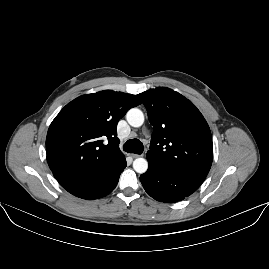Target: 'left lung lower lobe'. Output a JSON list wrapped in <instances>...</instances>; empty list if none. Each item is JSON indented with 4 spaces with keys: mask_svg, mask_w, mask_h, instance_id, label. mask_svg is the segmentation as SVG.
Returning a JSON list of instances; mask_svg holds the SVG:
<instances>
[{
    "mask_svg": "<svg viewBox=\"0 0 269 269\" xmlns=\"http://www.w3.org/2000/svg\"><path fill=\"white\" fill-rule=\"evenodd\" d=\"M205 178L163 168L149 163L148 170L140 176L145 191L164 203H175L195 192Z\"/></svg>",
    "mask_w": 269,
    "mask_h": 269,
    "instance_id": "obj_1",
    "label": "left lung lower lobe"
}]
</instances>
